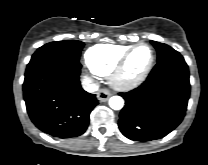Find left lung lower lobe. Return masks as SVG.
Segmentation results:
<instances>
[{
	"label": "left lung lower lobe",
	"instance_id": "1",
	"mask_svg": "<svg viewBox=\"0 0 208 165\" xmlns=\"http://www.w3.org/2000/svg\"><path fill=\"white\" fill-rule=\"evenodd\" d=\"M125 106L119 129L134 141L164 137L183 120L190 97L188 66L180 53L157 62L146 81L127 93H120Z\"/></svg>",
	"mask_w": 208,
	"mask_h": 165
}]
</instances>
